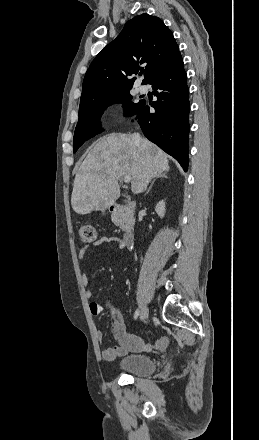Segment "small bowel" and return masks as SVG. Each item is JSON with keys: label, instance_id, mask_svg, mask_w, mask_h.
<instances>
[{"label": "small bowel", "instance_id": "c3829d8e", "mask_svg": "<svg viewBox=\"0 0 259 440\" xmlns=\"http://www.w3.org/2000/svg\"><path fill=\"white\" fill-rule=\"evenodd\" d=\"M105 243L116 244L119 248H124L126 245L123 238L119 237H101L93 244L83 246L78 253V259L82 262L91 247L100 246ZM82 283L85 287V295L87 298H91L93 293L89 288V281L85 273L82 274ZM90 313L94 316L99 315L103 311V307L97 302H91L89 304ZM112 332L117 341V345L106 347L102 350V357L105 360H112L115 357L127 353L129 351H150L156 349L164 351L169 345L170 339L168 337H161L156 341L154 345L145 344L143 339L137 335L128 333L126 331L124 322L120 313L112 309ZM96 337L99 342H102L104 335L101 331L96 332Z\"/></svg>", "mask_w": 259, "mask_h": 440}]
</instances>
